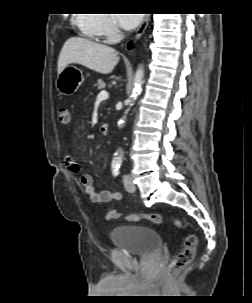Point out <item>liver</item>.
I'll use <instances>...</instances> for the list:
<instances>
[{
	"label": "liver",
	"instance_id": "1",
	"mask_svg": "<svg viewBox=\"0 0 252 303\" xmlns=\"http://www.w3.org/2000/svg\"><path fill=\"white\" fill-rule=\"evenodd\" d=\"M119 61L118 52L107 45L88 39L72 37L68 39L58 58V74L69 64L83 65L102 74L111 73Z\"/></svg>",
	"mask_w": 252,
	"mask_h": 303
}]
</instances>
